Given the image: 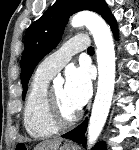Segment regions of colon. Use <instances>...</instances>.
I'll return each mask as SVG.
<instances>
[{
    "mask_svg": "<svg viewBox=\"0 0 139 150\" xmlns=\"http://www.w3.org/2000/svg\"><path fill=\"white\" fill-rule=\"evenodd\" d=\"M16 150H27L25 147H18Z\"/></svg>",
    "mask_w": 139,
    "mask_h": 150,
    "instance_id": "5ec220e1",
    "label": "colon"
}]
</instances>
